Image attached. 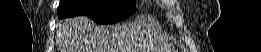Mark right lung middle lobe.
Returning <instances> with one entry per match:
<instances>
[{"label":"right lung middle lobe","mask_w":261,"mask_h":52,"mask_svg":"<svg viewBox=\"0 0 261 52\" xmlns=\"http://www.w3.org/2000/svg\"><path fill=\"white\" fill-rule=\"evenodd\" d=\"M135 1L130 0H61L58 17L86 15L100 24L120 21L135 10Z\"/></svg>","instance_id":"obj_1"}]
</instances>
